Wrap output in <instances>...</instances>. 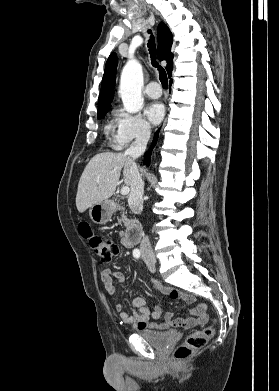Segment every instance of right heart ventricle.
I'll list each match as a JSON object with an SVG mask.
<instances>
[{
  "label": "right heart ventricle",
  "instance_id": "right-heart-ventricle-1",
  "mask_svg": "<svg viewBox=\"0 0 279 391\" xmlns=\"http://www.w3.org/2000/svg\"><path fill=\"white\" fill-rule=\"evenodd\" d=\"M110 129H111V125L108 124V125L106 126V131H110Z\"/></svg>",
  "mask_w": 279,
  "mask_h": 391
}]
</instances>
